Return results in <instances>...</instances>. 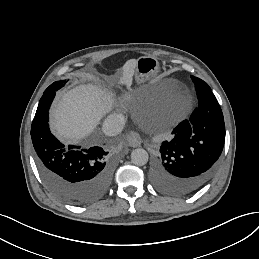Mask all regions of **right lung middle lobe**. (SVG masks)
<instances>
[{
	"label": "right lung middle lobe",
	"instance_id": "right-lung-middle-lobe-1",
	"mask_svg": "<svg viewBox=\"0 0 259 259\" xmlns=\"http://www.w3.org/2000/svg\"><path fill=\"white\" fill-rule=\"evenodd\" d=\"M67 81L66 80H61V81H56L52 83L45 91L44 94L50 93V92H56L59 90L61 87L65 85Z\"/></svg>",
	"mask_w": 259,
	"mask_h": 259
}]
</instances>
